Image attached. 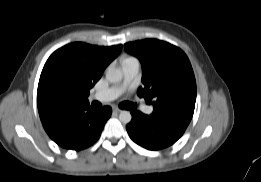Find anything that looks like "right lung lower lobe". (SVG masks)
Masks as SVG:
<instances>
[{"instance_id": "1", "label": "right lung lower lobe", "mask_w": 261, "mask_h": 182, "mask_svg": "<svg viewBox=\"0 0 261 182\" xmlns=\"http://www.w3.org/2000/svg\"><path fill=\"white\" fill-rule=\"evenodd\" d=\"M111 113L109 106L98 111L89 109L82 112L70 124L63 137L55 142L63 148L76 151L89 147L100 137Z\"/></svg>"}]
</instances>
